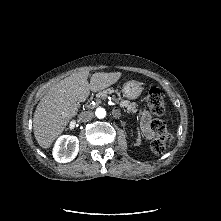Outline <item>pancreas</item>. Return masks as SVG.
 I'll return each mask as SVG.
<instances>
[{
	"label": "pancreas",
	"instance_id": "cf45deb5",
	"mask_svg": "<svg viewBox=\"0 0 221 221\" xmlns=\"http://www.w3.org/2000/svg\"><path fill=\"white\" fill-rule=\"evenodd\" d=\"M114 92H117V91L109 88L107 90H104V91L96 94L95 97L98 100L101 99V98L105 99L108 96V94H112ZM117 96L119 97V100H120V106L122 108H125L127 113H136L138 111V109H137L138 105L135 102L131 103L128 100L122 99L120 93H118V92H117Z\"/></svg>",
	"mask_w": 221,
	"mask_h": 221
}]
</instances>
